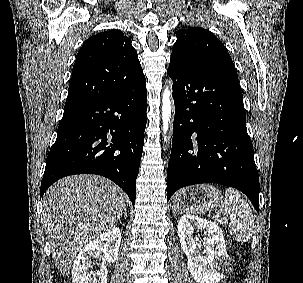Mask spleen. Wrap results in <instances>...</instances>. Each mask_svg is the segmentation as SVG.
<instances>
[{
	"label": "spleen",
	"instance_id": "obj_1",
	"mask_svg": "<svg viewBox=\"0 0 303 283\" xmlns=\"http://www.w3.org/2000/svg\"><path fill=\"white\" fill-rule=\"evenodd\" d=\"M219 207L220 211L229 217L230 234L234 240L241 243L247 242L254 228V216L247 201L237 190L228 188Z\"/></svg>",
	"mask_w": 303,
	"mask_h": 283
}]
</instances>
